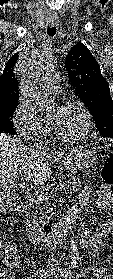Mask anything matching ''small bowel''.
Instances as JSON below:
<instances>
[{"label": "small bowel", "mask_w": 113, "mask_h": 279, "mask_svg": "<svg viewBox=\"0 0 113 279\" xmlns=\"http://www.w3.org/2000/svg\"><path fill=\"white\" fill-rule=\"evenodd\" d=\"M92 187L87 185L84 187L81 195V204H86ZM96 205L106 207L113 203V194L106 193L104 196H99L96 200ZM113 234V218L104 222L100 229L94 234L87 237V246L90 251L97 255L104 244V239L107 235ZM20 265V257H16L11 266L18 267ZM89 279H113V274L108 273L103 267H92L89 270Z\"/></svg>", "instance_id": "c3829d8e"}]
</instances>
